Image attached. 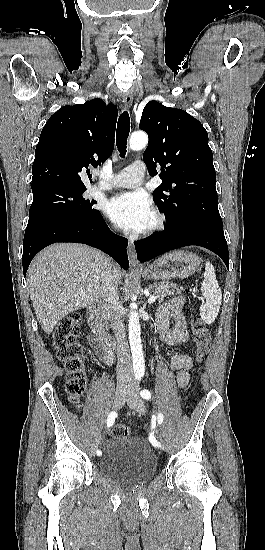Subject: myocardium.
Masks as SVG:
<instances>
[{
	"label": "myocardium",
	"instance_id": "obj_1",
	"mask_svg": "<svg viewBox=\"0 0 265 550\" xmlns=\"http://www.w3.org/2000/svg\"><path fill=\"white\" fill-rule=\"evenodd\" d=\"M153 221L149 227L143 230V235H152L162 230L165 225V217L158 211L152 212Z\"/></svg>",
	"mask_w": 265,
	"mask_h": 550
}]
</instances>
